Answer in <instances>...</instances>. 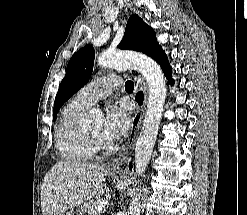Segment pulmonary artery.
Returning a JSON list of instances; mask_svg holds the SVG:
<instances>
[{"mask_svg":"<svg viewBox=\"0 0 247 215\" xmlns=\"http://www.w3.org/2000/svg\"><path fill=\"white\" fill-rule=\"evenodd\" d=\"M121 78L114 75L103 76L83 87L74 100L83 107L88 108L95 102L107 97L121 85Z\"/></svg>","mask_w":247,"mask_h":215,"instance_id":"1","label":"pulmonary artery"}]
</instances>
